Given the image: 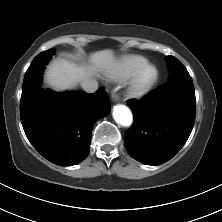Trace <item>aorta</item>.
I'll return each instance as SVG.
<instances>
[{
	"label": "aorta",
	"mask_w": 222,
	"mask_h": 222,
	"mask_svg": "<svg viewBox=\"0 0 222 222\" xmlns=\"http://www.w3.org/2000/svg\"><path fill=\"white\" fill-rule=\"evenodd\" d=\"M113 118L116 123L124 127H129L133 122V115L130 109L125 105H116L113 108Z\"/></svg>",
	"instance_id": "aorta-1"
}]
</instances>
